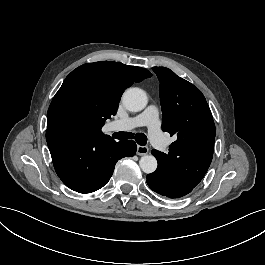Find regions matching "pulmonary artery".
<instances>
[{
	"label": "pulmonary artery",
	"mask_w": 265,
	"mask_h": 265,
	"mask_svg": "<svg viewBox=\"0 0 265 265\" xmlns=\"http://www.w3.org/2000/svg\"><path fill=\"white\" fill-rule=\"evenodd\" d=\"M159 107L155 103L147 105L146 110L137 117H123L118 119L114 123V129L118 133H123L126 130H140L146 127L149 130H153L149 134L151 144L155 148H161L165 144V139L161 132L154 130L159 128Z\"/></svg>",
	"instance_id": "e3ab8cb5"
}]
</instances>
